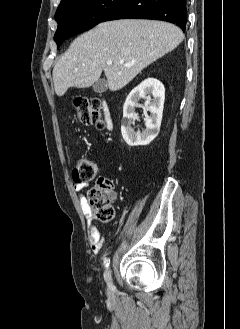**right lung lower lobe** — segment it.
<instances>
[{"instance_id": "1", "label": "right lung lower lobe", "mask_w": 240, "mask_h": 329, "mask_svg": "<svg viewBox=\"0 0 240 329\" xmlns=\"http://www.w3.org/2000/svg\"><path fill=\"white\" fill-rule=\"evenodd\" d=\"M128 18L163 20L184 31L187 22L186 0H124L102 22Z\"/></svg>"}]
</instances>
